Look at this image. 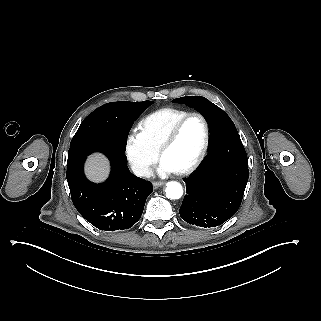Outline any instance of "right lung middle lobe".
Here are the masks:
<instances>
[{
    "instance_id": "dd1d6c3e",
    "label": "right lung middle lobe",
    "mask_w": 321,
    "mask_h": 321,
    "mask_svg": "<svg viewBox=\"0 0 321 321\" xmlns=\"http://www.w3.org/2000/svg\"><path fill=\"white\" fill-rule=\"evenodd\" d=\"M128 103L137 105L142 110H145L147 107L153 104L152 101ZM103 108L96 109L83 120V122L81 123L77 132L71 140L70 148L81 144L116 145L113 142L112 134L110 133L108 124L106 123L105 118L101 113Z\"/></svg>"
}]
</instances>
